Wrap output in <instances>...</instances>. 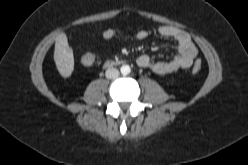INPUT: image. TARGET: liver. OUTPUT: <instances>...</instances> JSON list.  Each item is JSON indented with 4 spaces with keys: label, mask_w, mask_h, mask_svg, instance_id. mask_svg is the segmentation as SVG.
<instances>
[{
    "label": "liver",
    "mask_w": 248,
    "mask_h": 165,
    "mask_svg": "<svg viewBox=\"0 0 248 165\" xmlns=\"http://www.w3.org/2000/svg\"><path fill=\"white\" fill-rule=\"evenodd\" d=\"M54 61L62 77L67 78L72 74L74 70L73 50L68 44L65 33H60L55 40Z\"/></svg>",
    "instance_id": "1"
}]
</instances>
